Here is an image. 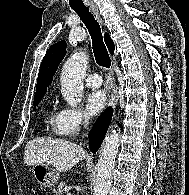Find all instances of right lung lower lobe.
Returning a JSON list of instances; mask_svg holds the SVG:
<instances>
[{
  "mask_svg": "<svg viewBox=\"0 0 189 195\" xmlns=\"http://www.w3.org/2000/svg\"><path fill=\"white\" fill-rule=\"evenodd\" d=\"M112 117V108L109 107L107 110L101 114V116L96 121L92 130L89 133V147L93 153L101 146V143L104 139L105 133L109 126Z\"/></svg>",
  "mask_w": 189,
  "mask_h": 195,
  "instance_id": "98d812e1",
  "label": "right lung lower lobe"
}]
</instances>
